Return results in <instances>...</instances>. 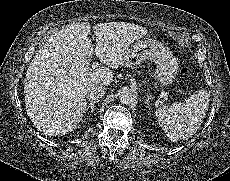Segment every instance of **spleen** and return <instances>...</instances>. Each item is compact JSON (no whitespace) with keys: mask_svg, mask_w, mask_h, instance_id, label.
I'll use <instances>...</instances> for the list:
<instances>
[{"mask_svg":"<svg viewBox=\"0 0 230 181\" xmlns=\"http://www.w3.org/2000/svg\"><path fill=\"white\" fill-rule=\"evenodd\" d=\"M208 104V94L201 90L182 102L158 108L155 115L170 140L188 139L199 128Z\"/></svg>","mask_w":230,"mask_h":181,"instance_id":"obj_1","label":"spleen"}]
</instances>
